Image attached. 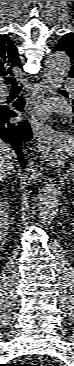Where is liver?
I'll use <instances>...</instances> for the list:
<instances>
[{
	"label": "liver",
	"mask_w": 74,
	"mask_h": 366,
	"mask_svg": "<svg viewBox=\"0 0 74 366\" xmlns=\"http://www.w3.org/2000/svg\"><path fill=\"white\" fill-rule=\"evenodd\" d=\"M16 152L9 144L0 141V178L3 179L14 169Z\"/></svg>",
	"instance_id": "liver-1"
}]
</instances>
